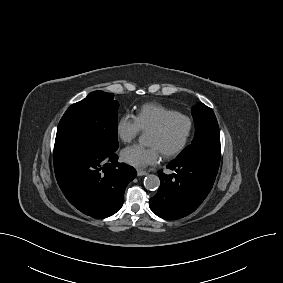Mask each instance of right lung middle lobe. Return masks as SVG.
Listing matches in <instances>:
<instances>
[{"label": "right lung middle lobe", "mask_w": 283, "mask_h": 283, "mask_svg": "<svg viewBox=\"0 0 283 283\" xmlns=\"http://www.w3.org/2000/svg\"><path fill=\"white\" fill-rule=\"evenodd\" d=\"M114 94L91 92L72 104L61 118L55 144L70 140L85 141L109 151L118 149V108Z\"/></svg>", "instance_id": "right-lung-middle-lobe-1"}]
</instances>
